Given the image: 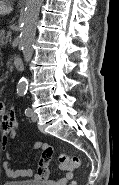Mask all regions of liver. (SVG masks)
I'll return each mask as SVG.
<instances>
[{
    "mask_svg": "<svg viewBox=\"0 0 119 185\" xmlns=\"http://www.w3.org/2000/svg\"><path fill=\"white\" fill-rule=\"evenodd\" d=\"M11 11V7L5 5L3 2H0V15L9 14Z\"/></svg>",
    "mask_w": 119,
    "mask_h": 185,
    "instance_id": "liver-1",
    "label": "liver"
}]
</instances>
